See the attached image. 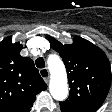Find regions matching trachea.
Wrapping results in <instances>:
<instances>
[{"mask_svg":"<svg viewBox=\"0 0 112 112\" xmlns=\"http://www.w3.org/2000/svg\"><path fill=\"white\" fill-rule=\"evenodd\" d=\"M36 67L38 68H44L45 67V62H44V59L42 57H39L36 62Z\"/></svg>","mask_w":112,"mask_h":112,"instance_id":"trachea-1","label":"trachea"}]
</instances>
